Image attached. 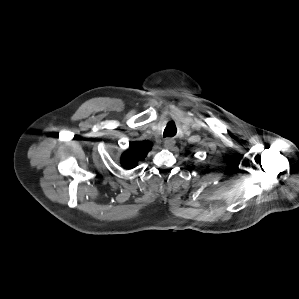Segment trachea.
<instances>
[{
  "instance_id": "1",
  "label": "trachea",
  "mask_w": 299,
  "mask_h": 299,
  "mask_svg": "<svg viewBox=\"0 0 299 299\" xmlns=\"http://www.w3.org/2000/svg\"><path fill=\"white\" fill-rule=\"evenodd\" d=\"M176 131V126L172 122H169L164 130V137H173L176 134Z\"/></svg>"
}]
</instances>
